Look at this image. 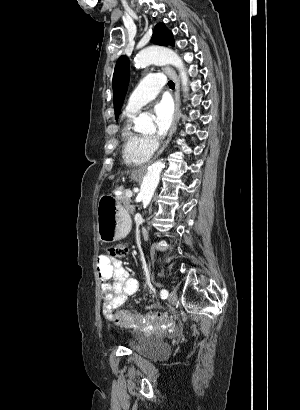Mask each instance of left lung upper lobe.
<instances>
[{"label": "left lung upper lobe", "mask_w": 300, "mask_h": 410, "mask_svg": "<svg viewBox=\"0 0 300 410\" xmlns=\"http://www.w3.org/2000/svg\"><path fill=\"white\" fill-rule=\"evenodd\" d=\"M151 42L162 45H174L173 34L169 31L163 23L157 24ZM130 70L129 59L122 55L119 57L113 74V102L115 108V118H118L120 113L128 84H129Z\"/></svg>", "instance_id": "obj_1"}]
</instances>
